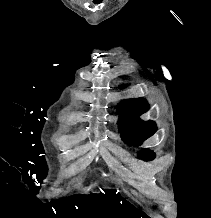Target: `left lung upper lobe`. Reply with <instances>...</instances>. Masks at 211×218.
<instances>
[{
    "mask_svg": "<svg viewBox=\"0 0 211 218\" xmlns=\"http://www.w3.org/2000/svg\"><path fill=\"white\" fill-rule=\"evenodd\" d=\"M148 108V104L143 98L127 100L118 106L119 132L124 142L129 145H138L154 134L156 124L153 121L144 122L138 118ZM139 157L144 160H152L155 158V154L152 151H147Z\"/></svg>",
    "mask_w": 211,
    "mask_h": 218,
    "instance_id": "5c2ea615",
    "label": "left lung upper lobe"
}]
</instances>
